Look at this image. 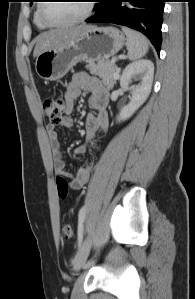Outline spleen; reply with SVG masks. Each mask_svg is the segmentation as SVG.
<instances>
[{"instance_id":"3e777b00","label":"spleen","mask_w":195,"mask_h":299,"mask_svg":"<svg viewBox=\"0 0 195 299\" xmlns=\"http://www.w3.org/2000/svg\"><path fill=\"white\" fill-rule=\"evenodd\" d=\"M122 30L127 36L126 47L129 59L135 61L142 58L149 49V43L146 37L126 27H123Z\"/></svg>"}]
</instances>
